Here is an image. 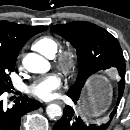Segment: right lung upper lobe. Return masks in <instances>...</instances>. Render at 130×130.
Segmentation results:
<instances>
[{
    "label": "right lung upper lobe",
    "mask_w": 130,
    "mask_h": 130,
    "mask_svg": "<svg viewBox=\"0 0 130 130\" xmlns=\"http://www.w3.org/2000/svg\"><path fill=\"white\" fill-rule=\"evenodd\" d=\"M47 29L46 26H28L0 21V48L17 55L24 44L35 34Z\"/></svg>",
    "instance_id": "1"
}]
</instances>
